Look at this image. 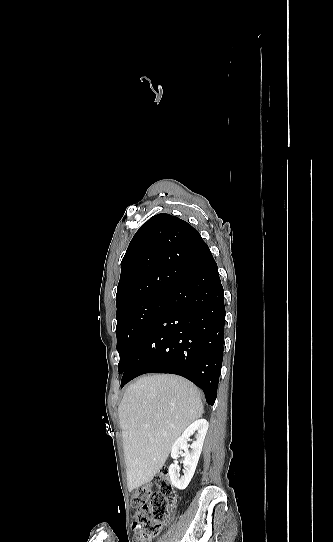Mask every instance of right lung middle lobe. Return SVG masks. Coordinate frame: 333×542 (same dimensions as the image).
Returning <instances> with one entry per match:
<instances>
[{
	"label": "right lung middle lobe",
	"mask_w": 333,
	"mask_h": 542,
	"mask_svg": "<svg viewBox=\"0 0 333 542\" xmlns=\"http://www.w3.org/2000/svg\"><path fill=\"white\" fill-rule=\"evenodd\" d=\"M168 292L157 293L143 301L124 307L116 314L117 351L120 356L119 374H123L148 323L166 301Z\"/></svg>",
	"instance_id": "dd1d6c3e"
}]
</instances>
